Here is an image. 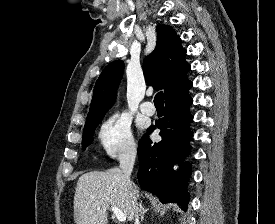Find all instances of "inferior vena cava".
Returning <instances> with one entry per match:
<instances>
[{"mask_svg": "<svg viewBox=\"0 0 275 224\" xmlns=\"http://www.w3.org/2000/svg\"><path fill=\"white\" fill-rule=\"evenodd\" d=\"M137 151L135 148H129L119 155L120 168L123 172L125 180L130 183V175L132 173ZM132 206L135 213V224H138V207L136 198L133 197Z\"/></svg>", "mask_w": 275, "mask_h": 224, "instance_id": "obj_1", "label": "inferior vena cava"}]
</instances>
